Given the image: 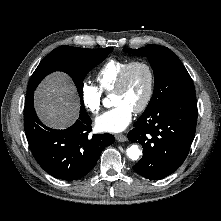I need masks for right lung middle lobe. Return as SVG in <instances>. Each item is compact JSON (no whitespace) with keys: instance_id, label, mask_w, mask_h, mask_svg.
Returning a JSON list of instances; mask_svg holds the SVG:
<instances>
[{"instance_id":"right-lung-middle-lobe-1","label":"right lung middle lobe","mask_w":221,"mask_h":221,"mask_svg":"<svg viewBox=\"0 0 221 221\" xmlns=\"http://www.w3.org/2000/svg\"><path fill=\"white\" fill-rule=\"evenodd\" d=\"M112 47L86 49L60 46L52 50L38 65L28 84L27 91H34L37 85L50 73L62 71L74 81L81 103H83V80L87 73L101 63L111 52ZM83 106V104H82Z\"/></svg>"}]
</instances>
